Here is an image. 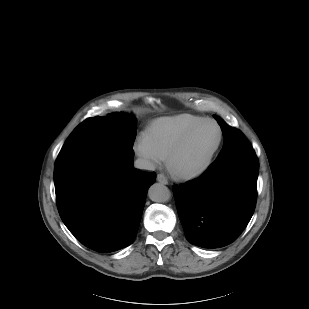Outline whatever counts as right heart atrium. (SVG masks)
Masks as SVG:
<instances>
[{
	"label": "right heart atrium",
	"instance_id": "obj_1",
	"mask_svg": "<svg viewBox=\"0 0 309 309\" xmlns=\"http://www.w3.org/2000/svg\"><path fill=\"white\" fill-rule=\"evenodd\" d=\"M134 149L136 154L148 164L155 165L159 163L160 158L150 149L143 138L137 140Z\"/></svg>",
	"mask_w": 309,
	"mask_h": 309
}]
</instances>
